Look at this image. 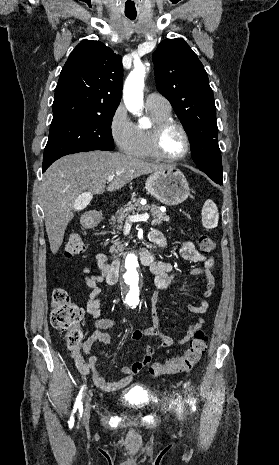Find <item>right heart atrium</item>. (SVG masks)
I'll return each mask as SVG.
<instances>
[{
	"mask_svg": "<svg viewBox=\"0 0 279 465\" xmlns=\"http://www.w3.org/2000/svg\"><path fill=\"white\" fill-rule=\"evenodd\" d=\"M109 134L116 147L127 152L132 144L135 125L130 120L123 104L113 110L109 119Z\"/></svg>",
	"mask_w": 279,
	"mask_h": 465,
	"instance_id": "d8ad5b80",
	"label": "right heart atrium"
}]
</instances>
